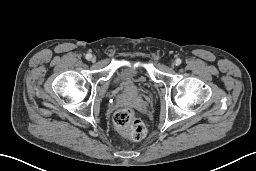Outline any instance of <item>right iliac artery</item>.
Returning a JSON list of instances; mask_svg holds the SVG:
<instances>
[{
    "mask_svg": "<svg viewBox=\"0 0 256 171\" xmlns=\"http://www.w3.org/2000/svg\"><path fill=\"white\" fill-rule=\"evenodd\" d=\"M91 57H92V55H91V54H86V59H87V60H90V59H91Z\"/></svg>",
    "mask_w": 256,
    "mask_h": 171,
    "instance_id": "obj_1",
    "label": "right iliac artery"
}]
</instances>
